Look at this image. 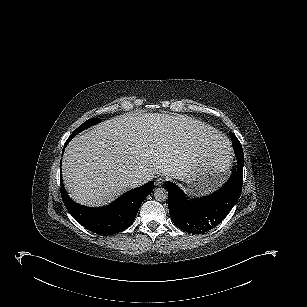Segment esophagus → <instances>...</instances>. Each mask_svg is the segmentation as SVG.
<instances>
[{"label": "esophagus", "instance_id": "obj_1", "mask_svg": "<svg viewBox=\"0 0 307 307\" xmlns=\"http://www.w3.org/2000/svg\"><path fill=\"white\" fill-rule=\"evenodd\" d=\"M165 181H166L165 177H159V178H157V180L155 181V185H156V186H161V185H163V184L165 183Z\"/></svg>", "mask_w": 307, "mask_h": 307}]
</instances>
